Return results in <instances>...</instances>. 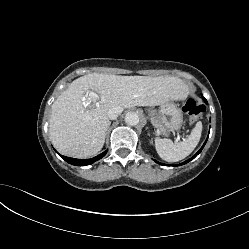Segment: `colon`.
Masks as SVG:
<instances>
[{"label": "colon", "instance_id": "obj_1", "mask_svg": "<svg viewBox=\"0 0 249 249\" xmlns=\"http://www.w3.org/2000/svg\"><path fill=\"white\" fill-rule=\"evenodd\" d=\"M183 111L189 116L190 122L195 123L201 118L205 108L196 98L191 97L186 100Z\"/></svg>", "mask_w": 249, "mask_h": 249}]
</instances>
